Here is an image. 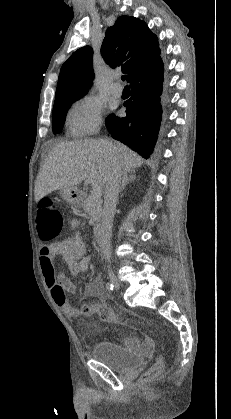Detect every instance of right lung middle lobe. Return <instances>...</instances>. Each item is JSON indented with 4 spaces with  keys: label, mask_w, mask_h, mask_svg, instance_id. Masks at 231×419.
<instances>
[{
    "label": "right lung middle lobe",
    "mask_w": 231,
    "mask_h": 419,
    "mask_svg": "<svg viewBox=\"0 0 231 419\" xmlns=\"http://www.w3.org/2000/svg\"><path fill=\"white\" fill-rule=\"evenodd\" d=\"M78 99L79 98H69L54 103V108L52 112V124L54 134L60 133L62 131L67 111L70 108L71 104Z\"/></svg>",
    "instance_id": "dd1d6c3e"
}]
</instances>
